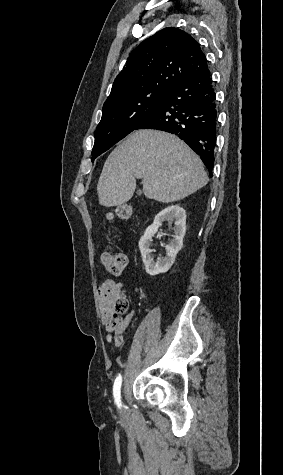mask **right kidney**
Returning a JSON list of instances; mask_svg holds the SVG:
<instances>
[{"instance_id": "1", "label": "right kidney", "mask_w": 283, "mask_h": 475, "mask_svg": "<svg viewBox=\"0 0 283 475\" xmlns=\"http://www.w3.org/2000/svg\"><path fill=\"white\" fill-rule=\"evenodd\" d=\"M174 222V239H171L168 245H165L166 255L161 259L154 261L153 255H151V249L149 247L152 236L156 234L158 228H160L162 222ZM186 232V212L183 208H180L179 204L175 206H169L165 210H161L151 226L146 228L143 236L139 241V249L142 255V261L145 265V269L149 275H157V273H165L170 269L175 261V257L180 251L183 245V238ZM166 236V234H163Z\"/></svg>"}]
</instances>
